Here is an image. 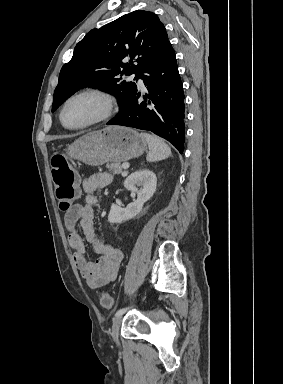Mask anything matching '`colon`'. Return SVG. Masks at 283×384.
Returning <instances> with one entry per match:
<instances>
[{
    "label": "colon",
    "instance_id": "1",
    "mask_svg": "<svg viewBox=\"0 0 283 384\" xmlns=\"http://www.w3.org/2000/svg\"><path fill=\"white\" fill-rule=\"evenodd\" d=\"M51 171L60 207L63 210H69L77 195L75 171L60 154L52 157ZM100 305L104 309H111L113 307L112 297L108 293H102Z\"/></svg>",
    "mask_w": 283,
    "mask_h": 384
}]
</instances>
